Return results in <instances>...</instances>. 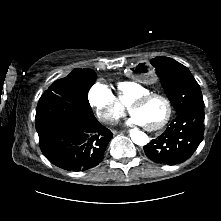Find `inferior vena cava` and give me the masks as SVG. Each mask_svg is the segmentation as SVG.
I'll use <instances>...</instances> for the list:
<instances>
[{
	"mask_svg": "<svg viewBox=\"0 0 221 221\" xmlns=\"http://www.w3.org/2000/svg\"><path fill=\"white\" fill-rule=\"evenodd\" d=\"M109 120H110L111 122H114V119H113V118H110Z\"/></svg>",
	"mask_w": 221,
	"mask_h": 221,
	"instance_id": "obj_1",
	"label": "inferior vena cava"
}]
</instances>
